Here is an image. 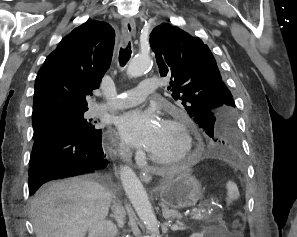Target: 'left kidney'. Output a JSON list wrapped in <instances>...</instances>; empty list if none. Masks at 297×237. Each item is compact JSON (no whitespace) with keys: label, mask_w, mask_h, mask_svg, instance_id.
Here are the masks:
<instances>
[{"label":"left kidney","mask_w":297,"mask_h":237,"mask_svg":"<svg viewBox=\"0 0 297 237\" xmlns=\"http://www.w3.org/2000/svg\"><path fill=\"white\" fill-rule=\"evenodd\" d=\"M190 237H212V229L205 228L201 233H194Z\"/></svg>","instance_id":"left-kidney-1"}]
</instances>
